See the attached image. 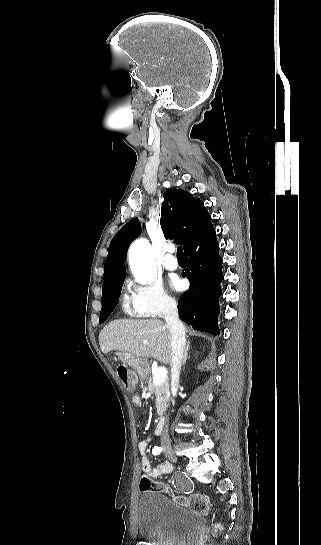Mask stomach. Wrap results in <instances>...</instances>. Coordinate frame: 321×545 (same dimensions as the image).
Returning <instances> with one entry per match:
<instances>
[{"label": "stomach", "instance_id": "1", "mask_svg": "<svg viewBox=\"0 0 321 545\" xmlns=\"http://www.w3.org/2000/svg\"><path fill=\"white\" fill-rule=\"evenodd\" d=\"M118 359L120 361H123V363H126L128 367H132L138 375H145L146 371H148L150 367V363L148 359H145V357H134V355H129V353H116Z\"/></svg>", "mask_w": 321, "mask_h": 545}]
</instances>
